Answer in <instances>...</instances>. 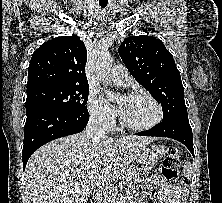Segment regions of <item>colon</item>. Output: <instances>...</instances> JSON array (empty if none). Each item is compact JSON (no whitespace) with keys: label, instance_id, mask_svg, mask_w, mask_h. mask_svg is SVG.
Wrapping results in <instances>:
<instances>
[{"label":"colon","instance_id":"1","mask_svg":"<svg viewBox=\"0 0 222 203\" xmlns=\"http://www.w3.org/2000/svg\"><path fill=\"white\" fill-rule=\"evenodd\" d=\"M179 166L180 155L178 150L174 147H170L162 162L161 173L163 178L170 183H177Z\"/></svg>","mask_w":222,"mask_h":203}]
</instances>
